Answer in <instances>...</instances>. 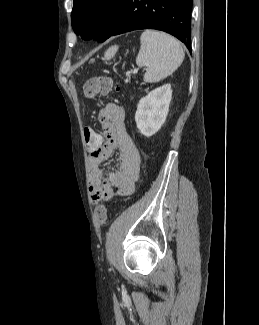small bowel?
<instances>
[{"mask_svg": "<svg viewBox=\"0 0 259 325\" xmlns=\"http://www.w3.org/2000/svg\"><path fill=\"white\" fill-rule=\"evenodd\" d=\"M99 121L105 141L99 134L101 148L87 149L90 162L89 194L93 203L109 201L116 195H131L141 169V156L128 133L124 108L117 103H107L99 112ZM115 150L119 152L117 169L104 178L101 163Z\"/></svg>", "mask_w": 259, "mask_h": 325, "instance_id": "c3829d8e", "label": "small bowel"}]
</instances>
